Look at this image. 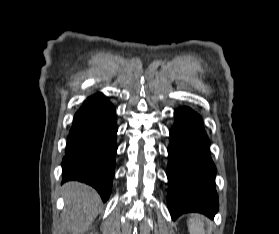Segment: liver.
I'll list each match as a JSON object with an SVG mask.
<instances>
[{
	"label": "liver",
	"mask_w": 279,
	"mask_h": 234,
	"mask_svg": "<svg viewBox=\"0 0 279 234\" xmlns=\"http://www.w3.org/2000/svg\"><path fill=\"white\" fill-rule=\"evenodd\" d=\"M66 207L63 225L67 232L79 234L95 219L100 206V197L91 187L69 182L64 185Z\"/></svg>",
	"instance_id": "1"
}]
</instances>
